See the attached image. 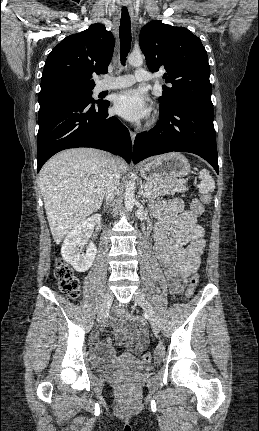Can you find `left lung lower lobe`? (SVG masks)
Listing matches in <instances>:
<instances>
[{
  "label": "left lung lower lobe",
  "instance_id": "left-lung-lower-lobe-1",
  "mask_svg": "<svg viewBox=\"0 0 259 431\" xmlns=\"http://www.w3.org/2000/svg\"><path fill=\"white\" fill-rule=\"evenodd\" d=\"M213 118V106L203 102L178 101L160 107L155 127L135 138L133 162L172 151L189 152L205 159L218 173Z\"/></svg>",
  "mask_w": 259,
  "mask_h": 431
}]
</instances>
